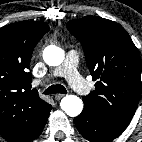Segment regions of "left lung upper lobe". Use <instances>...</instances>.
Listing matches in <instances>:
<instances>
[{
	"label": "left lung upper lobe",
	"instance_id": "obj_1",
	"mask_svg": "<svg viewBox=\"0 0 142 142\" xmlns=\"http://www.w3.org/2000/svg\"><path fill=\"white\" fill-rule=\"evenodd\" d=\"M67 28L82 43L92 79L97 81L95 90L82 98L84 104L126 128L142 89L138 49L120 24L101 17L71 20Z\"/></svg>",
	"mask_w": 142,
	"mask_h": 142
}]
</instances>
